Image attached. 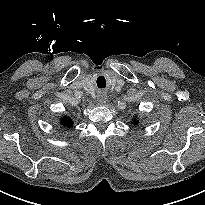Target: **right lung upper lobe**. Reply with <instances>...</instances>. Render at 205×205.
I'll return each mask as SVG.
<instances>
[{"label": "right lung upper lobe", "mask_w": 205, "mask_h": 205, "mask_svg": "<svg viewBox=\"0 0 205 205\" xmlns=\"http://www.w3.org/2000/svg\"><path fill=\"white\" fill-rule=\"evenodd\" d=\"M62 123L67 127H71V125H72V122L69 120V118H64L62 120Z\"/></svg>", "instance_id": "obj_1"}]
</instances>
